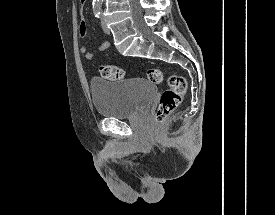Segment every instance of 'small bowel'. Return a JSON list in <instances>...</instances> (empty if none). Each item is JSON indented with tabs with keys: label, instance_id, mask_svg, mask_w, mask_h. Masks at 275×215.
<instances>
[{
	"label": "small bowel",
	"instance_id": "1",
	"mask_svg": "<svg viewBox=\"0 0 275 215\" xmlns=\"http://www.w3.org/2000/svg\"><path fill=\"white\" fill-rule=\"evenodd\" d=\"M88 34V27H87V23L83 20L80 22L79 26H78V35L79 38L84 39L86 38ZM110 47V42L105 41L102 44L99 45L97 50H89L87 47L85 46H81L79 49V52L81 53V55L86 59V60H92L94 59V57L96 56V54L98 52H104L106 51L108 48Z\"/></svg>",
	"mask_w": 275,
	"mask_h": 215
}]
</instances>
